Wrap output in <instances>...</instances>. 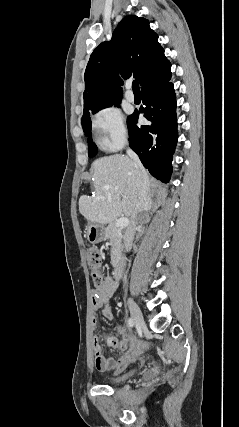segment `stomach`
Wrapping results in <instances>:
<instances>
[{
  "label": "stomach",
  "instance_id": "obj_1",
  "mask_svg": "<svg viewBox=\"0 0 239 427\" xmlns=\"http://www.w3.org/2000/svg\"><path fill=\"white\" fill-rule=\"evenodd\" d=\"M87 239L92 244H97L106 239V228L104 225L89 222L86 227Z\"/></svg>",
  "mask_w": 239,
  "mask_h": 427
}]
</instances>
